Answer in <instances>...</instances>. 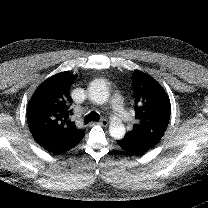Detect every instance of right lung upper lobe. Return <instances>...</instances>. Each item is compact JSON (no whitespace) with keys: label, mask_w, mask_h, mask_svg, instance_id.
Wrapping results in <instances>:
<instances>
[{"label":"right lung upper lobe","mask_w":208,"mask_h":208,"mask_svg":"<svg viewBox=\"0 0 208 208\" xmlns=\"http://www.w3.org/2000/svg\"><path fill=\"white\" fill-rule=\"evenodd\" d=\"M77 75L55 74L35 90L27 107V122L34 140L50 152L82 139L85 131L71 121L72 98L69 90Z\"/></svg>","instance_id":"cb5924a9"}]
</instances>
